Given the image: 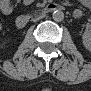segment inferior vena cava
<instances>
[{
	"label": "inferior vena cava",
	"instance_id": "obj_1",
	"mask_svg": "<svg viewBox=\"0 0 91 91\" xmlns=\"http://www.w3.org/2000/svg\"><path fill=\"white\" fill-rule=\"evenodd\" d=\"M46 18V13H40L39 15H35V19L33 21L42 20Z\"/></svg>",
	"mask_w": 91,
	"mask_h": 91
}]
</instances>
